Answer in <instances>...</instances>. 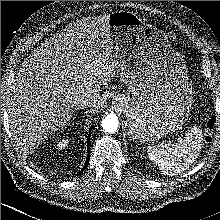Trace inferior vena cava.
I'll list each match as a JSON object with an SVG mask.
<instances>
[{"mask_svg":"<svg viewBox=\"0 0 220 220\" xmlns=\"http://www.w3.org/2000/svg\"><path fill=\"white\" fill-rule=\"evenodd\" d=\"M95 101V98L90 94H84L77 100V108H85L91 106Z\"/></svg>","mask_w":220,"mask_h":220,"instance_id":"obj_1","label":"inferior vena cava"}]
</instances>
